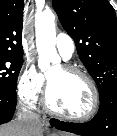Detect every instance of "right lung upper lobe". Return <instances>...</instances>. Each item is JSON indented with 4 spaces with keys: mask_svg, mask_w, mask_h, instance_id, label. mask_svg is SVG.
Wrapping results in <instances>:
<instances>
[{
    "mask_svg": "<svg viewBox=\"0 0 117 136\" xmlns=\"http://www.w3.org/2000/svg\"><path fill=\"white\" fill-rule=\"evenodd\" d=\"M23 0H0V56L23 57Z\"/></svg>",
    "mask_w": 117,
    "mask_h": 136,
    "instance_id": "1",
    "label": "right lung upper lobe"
}]
</instances>
